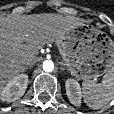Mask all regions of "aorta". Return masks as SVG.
I'll list each match as a JSON object with an SVG mask.
<instances>
[{"instance_id": "obj_1", "label": "aorta", "mask_w": 114, "mask_h": 114, "mask_svg": "<svg viewBox=\"0 0 114 114\" xmlns=\"http://www.w3.org/2000/svg\"><path fill=\"white\" fill-rule=\"evenodd\" d=\"M54 69V63L50 60H46L43 62V70L45 72H51Z\"/></svg>"}]
</instances>
